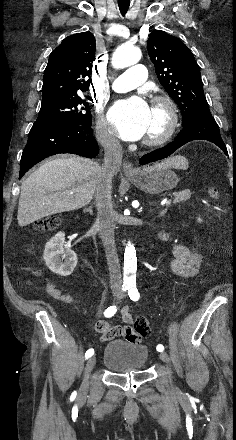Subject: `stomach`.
Wrapping results in <instances>:
<instances>
[{"label": "stomach", "instance_id": "0dacf381", "mask_svg": "<svg viewBox=\"0 0 236 440\" xmlns=\"http://www.w3.org/2000/svg\"><path fill=\"white\" fill-rule=\"evenodd\" d=\"M182 167H187L186 160ZM128 179L140 190L150 194L173 189L179 182L177 174L170 167L163 166L144 168L135 175L128 176Z\"/></svg>", "mask_w": 236, "mask_h": 440}]
</instances>
